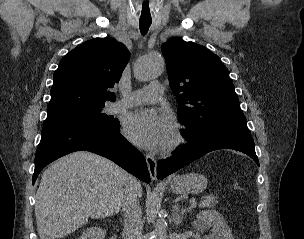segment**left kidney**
<instances>
[{
    "label": "left kidney",
    "mask_w": 304,
    "mask_h": 239,
    "mask_svg": "<svg viewBox=\"0 0 304 239\" xmlns=\"http://www.w3.org/2000/svg\"><path fill=\"white\" fill-rule=\"evenodd\" d=\"M194 226L198 231L212 227L206 239H235L223 216L217 211H202L197 215Z\"/></svg>",
    "instance_id": "obj_1"
}]
</instances>
